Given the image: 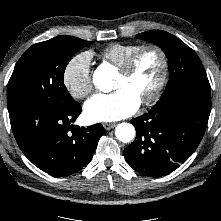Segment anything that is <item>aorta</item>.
Returning a JSON list of instances; mask_svg holds the SVG:
<instances>
[{"label": "aorta", "mask_w": 221, "mask_h": 221, "mask_svg": "<svg viewBox=\"0 0 221 221\" xmlns=\"http://www.w3.org/2000/svg\"><path fill=\"white\" fill-rule=\"evenodd\" d=\"M112 79L113 73L105 67H98L93 74L94 85L103 92L113 89ZM115 136L119 141L128 143L135 137V128L130 123H120L115 128Z\"/></svg>", "instance_id": "aorta-1"}]
</instances>
